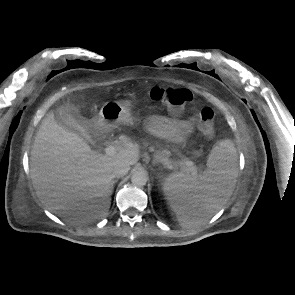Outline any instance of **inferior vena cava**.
<instances>
[{
    "instance_id": "obj_1",
    "label": "inferior vena cava",
    "mask_w": 295,
    "mask_h": 295,
    "mask_svg": "<svg viewBox=\"0 0 295 295\" xmlns=\"http://www.w3.org/2000/svg\"><path fill=\"white\" fill-rule=\"evenodd\" d=\"M130 170V165L125 162H117L113 167V176L122 177L128 173Z\"/></svg>"
}]
</instances>
